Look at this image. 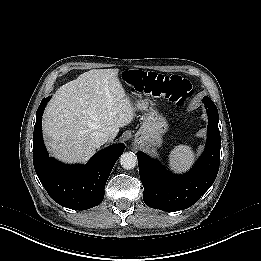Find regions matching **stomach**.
<instances>
[{"mask_svg":"<svg viewBox=\"0 0 261 261\" xmlns=\"http://www.w3.org/2000/svg\"><path fill=\"white\" fill-rule=\"evenodd\" d=\"M134 110L144 112L142 125L135 134V142L147 151H153L162 144V137L168 129L165 117L160 114L152 104L145 100H138Z\"/></svg>","mask_w":261,"mask_h":261,"instance_id":"stomach-1","label":"stomach"}]
</instances>
